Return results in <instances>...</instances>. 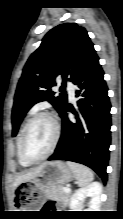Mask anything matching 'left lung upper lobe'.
<instances>
[{
  "label": "left lung upper lobe",
  "instance_id": "1",
  "mask_svg": "<svg viewBox=\"0 0 123 219\" xmlns=\"http://www.w3.org/2000/svg\"><path fill=\"white\" fill-rule=\"evenodd\" d=\"M95 56L85 28L76 23H64L50 30L29 57L18 82L12 109V135L17 134L28 110L40 101L48 100L60 114L67 104V95L65 92L56 95L51 90L55 78L63 77V88L67 78L73 82Z\"/></svg>",
  "mask_w": 123,
  "mask_h": 219
}]
</instances>
